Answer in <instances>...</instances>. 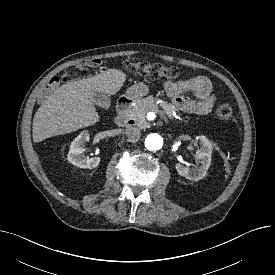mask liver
Segmentation results:
<instances>
[{
  "label": "liver",
  "mask_w": 275,
  "mask_h": 275,
  "mask_svg": "<svg viewBox=\"0 0 275 275\" xmlns=\"http://www.w3.org/2000/svg\"><path fill=\"white\" fill-rule=\"evenodd\" d=\"M126 74L117 69H109L87 79L69 82L56 89L40 106L33 119V141L63 135L94 125L99 114L92 96L95 92L116 94L124 82Z\"/></svg>",
  "instance_id": "1"
}]
</instances>
